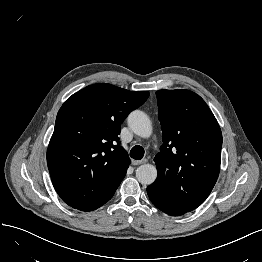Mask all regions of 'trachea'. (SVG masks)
<instances>
[{"label":"trachea","mask_w":262,"mask_h":262,"mask_svg":"<svg viewBox=\"0 0 262 262\" xmlns=\"http://www.w3.org/2000/svg\"><path fill=\"white\" fill-rule=\"evenodd\" d=\"M144 149L142 146H139V145H136L134 146L131 151H130V156L133 158V159H136V160H141L143 157H144Z\"/></svg>","instance_id":"3493384b"}]
</instances>
